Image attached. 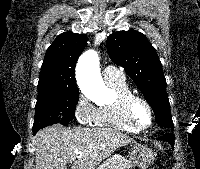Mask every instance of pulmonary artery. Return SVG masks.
Listing matches in <instances>:
<instances>
[{"mask_svg":"<svg viewBox=\"0 0 200 169\" xmlns=\"http://www.w3.org/2000/svg\"><path fill=\"white\" fill-rule=\"evenodd\" d=\"M103 78L106 82L123 80L124 75L114 66H105L103 68Z\"/></svg>","mask_w":200,"mask_h":169,"instance_id":"e3ab8cb5","label":"pulmonary artery"}]
</instances>
